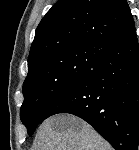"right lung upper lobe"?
Here are the masks:
<instances>
[{"label":"right lung upper lobe","mask_w":139,"mask_h":150,"mask_svg":"<svg viewBox=\"0 0 139 150\" xmlns=\"http://www.w3.org/2000/svg\"><path fill=\"white\" fill-rule=\"evenodd\" d=\"M134 26L126 0H59L39 23L28 72L52 55L92 45H112Z\"/></svg>","instance_id":"right-lung-upper-lobe-1"}]
</instances>
